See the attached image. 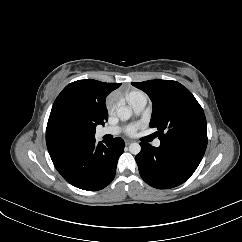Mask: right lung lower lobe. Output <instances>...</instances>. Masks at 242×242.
Segmentation results:
<instances>
[{
	"label": "right lung lower lobe",
	"mask_w": 242,
	"mask_h": 242,
	"mask_svg": "<svg viewBox=\"0 0 242 242\" xmlns=\"http://www.w3.org/2000/svg\"><path fill=\"white\" fill-rule=\"evenodd\" d=\"M123 151L124 141L119 137L105 142V145L93 139L79 143L51 159L67 182L83 190L97 191L114 179Z\"/></svg>",
	"instance_id": "98d812e1"
}]
</instances>
